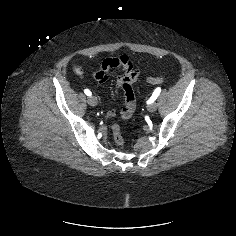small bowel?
Instances as JSON below:
<instances>
[{
    "instance_id": "1",
    "label": "small bowel",
    "mask_w": 236,
    "mask_h": 236,
    "mask_svg": "<svg viewBox=\"0 0 236 236\" xmlns=\"http://www.w3.org/2000/svg\"><path fill=\"white\" fill-rule=\"evenodd\" d=\"M114 69L121 70L122 74L117 78L116 84L122 89L125 98L124 108L120 112L122 119H129L136 106V100L132 85L138 80L140 70L137 63L128 55H120L119 57H109L103 60L99 69L93 73L94 80L99 85H104L108 81V73ZM159 84V83H158ZM130 103H132L130 107ZM115 109L107 110L108 117L116 116Z\"/></svg>"
}]
</instances>
